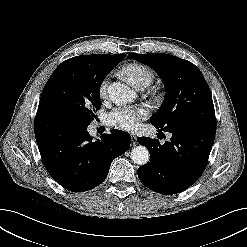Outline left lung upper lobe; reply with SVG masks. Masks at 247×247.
<instances>
[{"instance_id":"left-lung-upper-lobe-1","label":"left lung upper lobe","mask_w":247,"mask_h":247,"mask_svg":"<svg viewBox=\"0 0 247 247\" xmlns=\"http://www.w3.org/2000/svg\"><path fill=\"white\" fill-rule=\"evenodd\" d=\"M129 58L150 66L163 79L165 100L151 117V124L163 131L191 126L216 129L211 92L197 66L163 53H133Z\"/></svg>"}]
</instances>
